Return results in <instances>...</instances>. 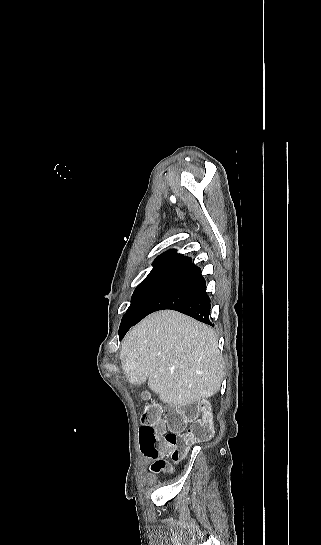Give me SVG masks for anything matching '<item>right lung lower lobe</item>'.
<instances>
[{"label":"right lung lower lobe","mask_w":321,"mask_h":545,"mask_svg":"<svg viewBox=\"0 0 321 545\" xmlns=\"http://www.w3.org/2000/svg\"><path fill=\"white\" fill-rule=\"evenodd\" d=\"M162 309L176 310L212 325L209 321L210 299L199 267L190 262L175 270L134 319L121 322L120 339L131 326L148 314Z\"/></svg>","instance_id":"right-lung-lower-lobe-1"}]
</instances>
